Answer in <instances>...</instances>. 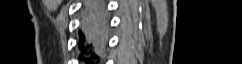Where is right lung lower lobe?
Masks as SVG:
<instances>
[{"label": "right lung lower lobe", "mask_w": 242, "mask_h": 64, "mask_svg": "<svg viewBox=\"0 0 242 64\" xmlns=\"http://www.w3.org/2000/svg\"><path fill=\"white\" fill-rule=\"evenodd\" d=\"M107 15L101 0L86 4L82 27L79 32V60L84 64L99 62V54L106 42Z\"/></svg>", "instance_id": "obj_1"}]
</instances>
